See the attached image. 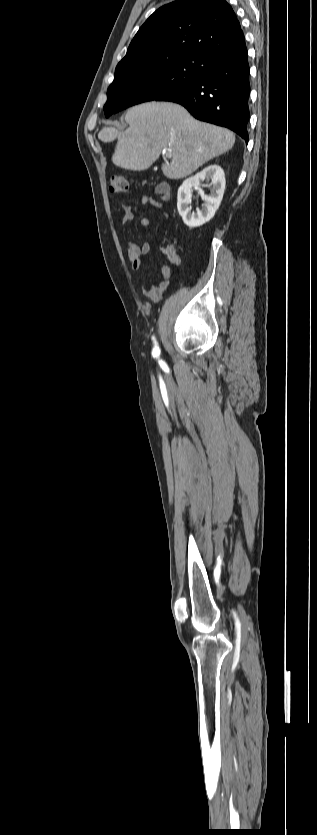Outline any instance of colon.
Returning <instances> with one entry per match:
<instances>
[{
    "instance_id": "colon-1",
    "label": "colon",
    "mask_w": 317,
    "mask_h": 835,
    "mask_svg": "<svg viewBox=\"0 0 317 835\" xmlns=\"http://www.w3.org/2000/svg\"><path fill=\"white\" fill-rule=\"evenodd\" d=\"M131 189L130 182L123 175L115 174L111 177L110 191L112 193H126Z\"/></svg>"
}]
</instances>
